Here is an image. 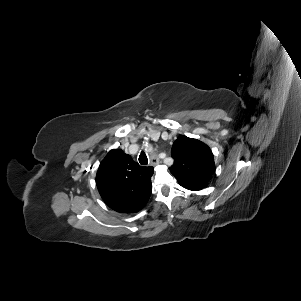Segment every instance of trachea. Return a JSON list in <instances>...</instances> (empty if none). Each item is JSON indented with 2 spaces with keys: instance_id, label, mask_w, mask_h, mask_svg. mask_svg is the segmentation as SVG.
<instances>
[{
  "instance_id": "obj_1",
  "label": "trachea",
  "mask_w": 301,
  "mask_h": 301,
  "mask_svg": "<svg viewBox=\"0 0 301 301\" xmlns=\"http://www.w3.org/2000/svg\"><path fill=\"white\" fill-rule=\"evenodd\" d=\"M139 162L141 165L148 164V158H147L146 154L144 153V151H142L141 154L139 155Z\"/></svg>"
}]
</instances>
